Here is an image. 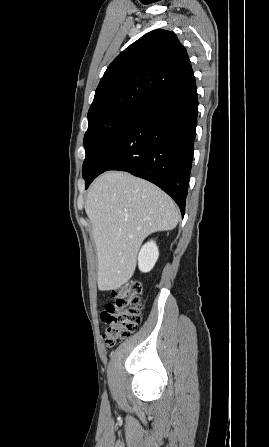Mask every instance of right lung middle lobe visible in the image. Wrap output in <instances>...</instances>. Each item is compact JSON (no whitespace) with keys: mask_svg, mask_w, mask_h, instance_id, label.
I'll return each instance as SVG.
<instances>
[{"mask_svg":"<svg viewBox=\"0 0 269 447\" xmlns=\"http://www.w3.org/2000/svg\"><path fill=\"white\" fill-rule=\"evenodd\" d=\"M141 109L142 105L123 106L88 119V130L84 136L86 151L82 167L84 179L88 177L94 161Z\"/></svg>","mask_w":269,"mask_h":447,"instance_id":"dd1d6c3e","label":"right lung middle lobe"}]
</instances>
